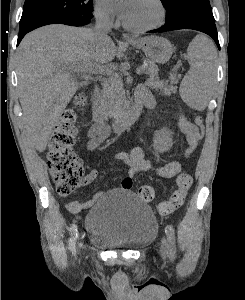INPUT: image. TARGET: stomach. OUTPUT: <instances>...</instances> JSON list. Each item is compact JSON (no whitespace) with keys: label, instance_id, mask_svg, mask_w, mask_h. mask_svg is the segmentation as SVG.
<instances>
[{"label":"stomach","instance_id":"1","mask_svg":"<svg viewBox=\"0 0 245 300\" xmlns=\"http://www.w3.org/2000/svg\"><path fill=\"white\" fill-rule=\"evenodd\" d=\"M133 45L142 49L148 58L158 64L168 62L173 53L172 44L163 37H144L133 42Z\"/></svg>","mask_w":245,"mask_h":300}]
</instances>
